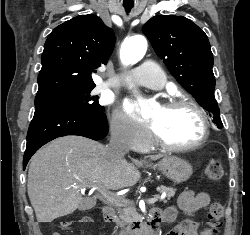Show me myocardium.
Wrapping results in <instances>:
<instances>
[{"label":"myocardium","mask_w":250,"mask_h":235,"mask_svg":"<svg viewBox=\"0 0 250 235\" xmlns=\"http://www.w3.org/2000/svg\"><path fill=\"white\" fill-rule=\"evenodd\" d=\"M182 106H187L192 108L199 116L201 121V131L198 138L188 144H170L162 139L155 128H151L150 133L153 142L162 150L169 152H183L193 150L201 146L207 139L209 134V119L204 108L194 99L189 97H178L167 102L164 107L167 109L178 108Z\"/></svg>","instance_id":"f54148a6"}]
</instances>
